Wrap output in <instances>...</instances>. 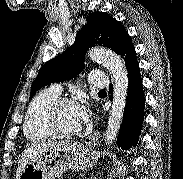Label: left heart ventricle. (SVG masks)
Instances as JSON below:
<instances>
[{"label":"left heart ventricle","instance_id":"b2bd125f","mask_svg":"<svg viewBox=\"0 0 183 179\" xmlns=\"http://www.w3.org/2000/svg\"><path fill=\"white\" fill-rule=\"evenodd\" d=\"M81 108L75 105L63 106L56 117V127L59 131L69 133L82 127Z\"/></svg>","mask_w":183,"mask_h":179}]
</instances>
